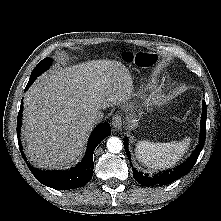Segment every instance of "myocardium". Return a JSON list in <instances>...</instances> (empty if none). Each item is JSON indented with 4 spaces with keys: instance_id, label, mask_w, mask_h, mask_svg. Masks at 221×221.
<instances>
[{
    "instance_id": "f54148a6",
    "label": "myocardium",
    "mask_w": 221,
    "mask_h": 221,
    "mask_svg": "<svg viewBox=\"0 0 221 221\" xmlns=\"http://www.w3.org/2000/svg\"><path fill=\"white\" fill-rule=\"evenodd\" d=\"M163 96V90L159 89L155 92L154 94V99L155 100H160Z\"/></svg>"
}]
</instances>
